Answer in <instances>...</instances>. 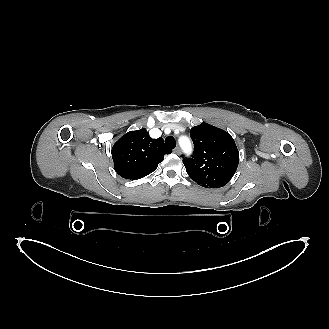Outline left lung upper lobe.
I'll return each instance as SVG.
<instances>
[{"label": "left lung upper lobe", "mask_w": 329, "mask_h": 329, "mask_svg": "<svg viewBox=\"0 0 329 329\" xmlns=\"http://www.w3.org/2000/svg\"><path fill=\"white\" fill-rule=\"evenodd\" d=\"M194 143L191 158H183L188 175L203 187L220 188L235 174L239 152L229 133L202 123L190 130Z\"/></svg>", "instance_id": "1"}]
</instances>
